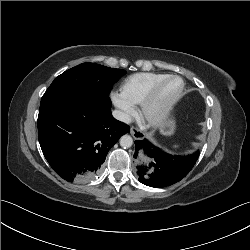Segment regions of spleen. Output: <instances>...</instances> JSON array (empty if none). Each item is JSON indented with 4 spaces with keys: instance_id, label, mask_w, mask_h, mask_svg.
I'll list each match as a JSON object with an SVG mask.
<instances>
[{
    "instance_id": "1",
    "label": "spleen",
    "mask_w": 250,
    "mask_h": 250,
    "mask_svg": "<svg viewBox=\"0 0 250 250\" xmlns=\"http://www.w3.org/2000/svg\"><path fill=\"white\" fill-rule=\"evenodd\" d=\"M179 146L178 145H174L173 148H178Z\"/></svg>"
}]
</instances>
